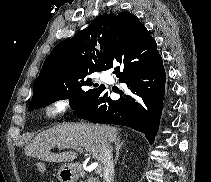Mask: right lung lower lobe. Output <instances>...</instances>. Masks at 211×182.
Segmentation results:
<instances>
[{
    "mask_svg": "<svg viewBox=\"0 0 211 182\" xmlns=\"http://www.w3.org/2000/svg\"><path fill=\"white\" fill-rule=\"evenodd\" d=\"M115 67L113 73L126 84L125 94L112 100L104 85L74 114L94 123L124 125L145 134L153 143L159 128L165 92V70L150 34L136 38L120 47L104 70Z\"/></svg>",
    "mask_w": 211,
    "mask_h": 182,
    "instance_id": "1",
    "label": "right lung lower lobe"
}]
</instances>
